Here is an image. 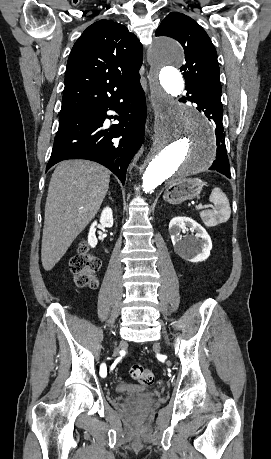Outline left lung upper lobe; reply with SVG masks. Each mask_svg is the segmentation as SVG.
<instances>
[{
	"label": "left lung upper lobe",
	"mask_w": 271,
	"mask_h": 459,
	"mask_svg": "<svg viewBox=\"0 0 271 459\" xmlns=\"http://www.w3.org/2000/svg\"><path fill=\"white\" fill-rule=\"evenodd\" d=\"M155 34L171 37L182 45L186 63L180 71L185 78L186 90L208 88L213 93L212 100L222 105L217 52L204 29L189 16L171 12Z\"/></svg>",
	"instance_id": "5c2ea615"
}]
</instances>
